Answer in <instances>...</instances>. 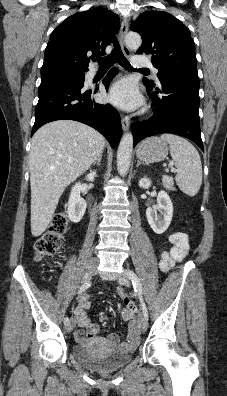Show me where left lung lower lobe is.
Here are the masks:
<instances>
[{"label":"left lung lower lobe","mask_w":227,"mask_h":396,"mask_svg":"<svg viewBox=\"0 0 227 396\" xmlns=\"http://www.w3.org/2000/svg\"><path fill=\"white\" fill-rule=\"evenodd\" d=\"M162 88L145 84L154 114L148 121L132 124L134 146L142 139L160 133L184 136L204 151L200 134L199 80L167 76L160 80ZM154 88V92H150ZM163 93L164 96L158 95Z\"/></svg>","instance_id":"left-lung-lower-lobe-1"}]
</instances>
